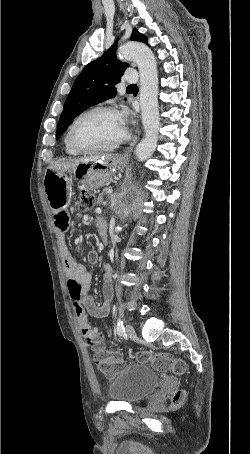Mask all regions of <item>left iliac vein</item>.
<instances>
[{"label": "left iliac vein", "instance_id": "obj_1", "mask_svg": "<svg viewBox=\"0 0 250 454\" xmlns=\"http://www.w3.org/2000/svg\"><path fill=\"white\" fill-rule=\"evenodd\" d=\"M126 334L131 339L136 337V332H135L134 328L130 324H128L126 326Z\"/></svg>", "mask_w": 250, "mask_h": 454}]
</instances>
